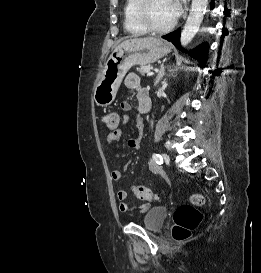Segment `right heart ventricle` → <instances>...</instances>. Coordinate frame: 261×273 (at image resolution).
Returning a JSON list of instances; mask_svg holds the SVG:
<instances>
[{
    "label": "right heart ventricle",
    "mask_w": 261,
    "mask_h": 273,
    "mask_svg": "<svg viewBox=\"0 0 261 273\" xmlns=\"http://www.w3.org/2000/svg\"><path fill=\"white\" fill-rule=\"evenodd\" d=\"M139 0H126L123 11V26L127 33L131 35H142L146 30L138 23L136 19V7Z\"/></svg>",
    "instance_id": "obj_1"
}]
</instances>
